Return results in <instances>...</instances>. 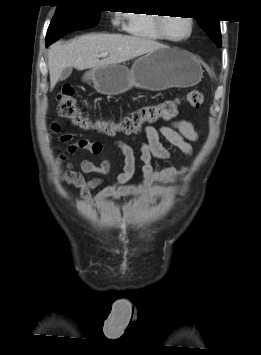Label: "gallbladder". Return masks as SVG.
Masks as SVG:
<instances>
[{
  "mask_svg": "<svg viewBox=\"0 0 261 355\" xmlns=\"http://www.w3.org/2000/svg\"><path fill=\"white\" fill-rule=\"evenodd\" d=\"M71 73H72V68H71V67L65 68V69L62 71L59 80H60V81L66 80V79L70 76Z\"/></svg>",
  "mask_w": 261,
  "mask_h": 355,
  "instance_id": "obj_1",
  "label": "gallbladder"
}]
</instances>
